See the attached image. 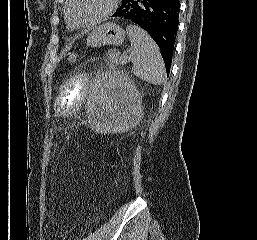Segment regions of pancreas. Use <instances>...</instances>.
<instances>
[{
	"mask_svg": "<svg viewBox=\"0 0 257 240\" xmlns=\"http://www.w3.org/2000/svg\"><path fill=\"white\" fill-rule=\"evenodd\" d=\"M106 58L110 65H120L122 64L120 61V53L117 52L116 50H109L106 53Z\"/></svg>",
	"mask_w": 257,
	"mask_h": 240,
	"instance_id": "pancreas-1",
	"label": "pancreas"
}]
</instances>
